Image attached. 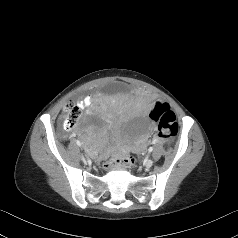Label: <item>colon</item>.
I'll return each mask as SVG.
<instances>
[{"label": "colon", "instance_id": "5ec220e1", "mask_svg": "<svg viewBox=\"0 0 238 238\" xmlns=\"http://www.w3.org/2000/svg\"><path fill=\"white\" fill-rule=\"evenodd\" d=\"M81 117V108L78 104L70 101L66 104L64 113L61 117L62 126L73 129ZM150 117L157 123V138L166 141L174 137L178 132L176 116L170 106L165 102H156L150 111ZM134 159L130 155H121L111 158L106 164V169L117 166L130 167Z\"/></svg>", "mask_w": 238, "mask_h": 238}]
</instances>
